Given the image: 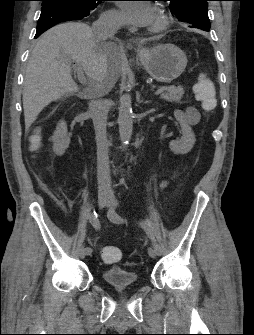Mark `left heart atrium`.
<instances>
[{"mask_svg":"<svg viewBox=\"0 0 254 335\" xmlns=\"http://www.w3.org/2000/svg\"><path fill=\"white\" fill-rule=\"evenodd\" d=\"M120 7L125 22L138 29L152 28L156 22V11L148 2L123 1Z\"/></svg>","mask_w":254,"mask_h":335,"instance_id":"1","label":"left heart atrium"}]
</instances>
